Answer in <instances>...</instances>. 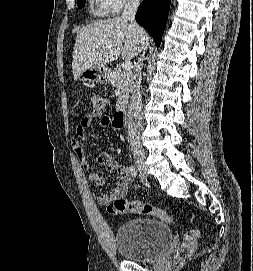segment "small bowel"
I'll return each mask as SVG.
<instances>
[{
	"instance_id": "small-bowel-1",
	"label": "small bowel",
	"mask_w": 253,
	"mask_h": 271,
	"mask_svg": "<svg viewBox=\"0 0 253 271\" xmlns=\"http://www.w3.org/2000/svg\"><path fill=\"white\" fill-rule=\"evenodd\" d=\"M98 115L99 114L96 112L84 115L76 128L77 135L80 137H84L87 133V130L91 126L93 119L96 118ZM111 124L112 120L110 117H104L101 121L102 126H109ZM71 147L81 165L84 168L88 169L91 166L92 161L84 152L80 142L75 139L72 140ZM94 161L100 165L107 166L109 168L117 170L119 174V179L115 188L110 193H105L98 196L97 200L99 204L107 205L112 201L124 198L127 194L131 182L130 170L126 166L119 165L117 161L114 159V157L106 152L99 154ZM89 180L97 186H102L104 184V177L102 176V174L98 172H91L89 174ZM111 213L117 214L114 212Z\"/></svg>"
}]
</instances>
